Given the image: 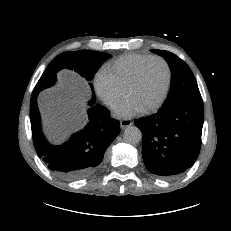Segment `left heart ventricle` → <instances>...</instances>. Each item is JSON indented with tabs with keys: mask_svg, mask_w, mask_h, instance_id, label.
<instances>
[{
	"mask_svg": "<svg viewBox=\"0 0 231 231\" xmlns=\"http://www.w3.org/2000/svg\"><path fill=\"white\" fill-rule=\"evenodd\" d=\"M166 82V69L158 60L150 61L139 81L129 91L128 97L136 100L144 109L154 104L160 97Z\"/></svg>",
	"mask_w": 231,
	"mask_h": 231,
	"instance_id": "left-heart-ventricle-1",
	"label": "left heart ventricle"
}]
</instances>
